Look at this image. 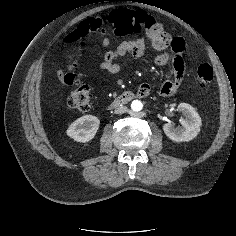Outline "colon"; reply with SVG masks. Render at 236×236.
<instances>
[{
  "label": "colon",
  "instance_id": "1",
  "mask_svg": "<svg viewBox=\"0 0 236 236\" xmlns=\"http://www.w3.org/2000/svg\"><path fill=\"white\" fill-rule=\"evenodd\" d=\"M108 29L121 37L137 35L143 30L148 31L152 29L166 40L171 38L170 34L163 28H156L155 21L146 13L119 9L109 15L94 17L84 21L66 37V42L81 46L90 33ZM196 75L200 84L207 86L213 80V68L209 64H202L197 68ZM64 82L67 85L73 86V90L67 99V107L79 112L87 111L92 99L89 85L80 81L74 74L66 75Z\"/></svg>",
  "mask_w": 236,
  "mask_h": 236
}]
</instances>
